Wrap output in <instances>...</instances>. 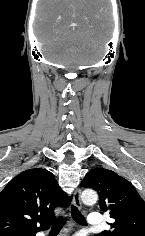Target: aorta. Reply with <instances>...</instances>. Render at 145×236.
Returning <instances> with one entry per match:
<instances>
[{
	"label": "aorta",
	"instance_id": "1",
	"mask_svg": "<svg viewBox=\"0 0 145 236\" xmlns=\"http://www.w3.org/2000/svg\"><path fill=\"white\" fill-rule=\"evenodd\" d=\"M81 199L86 205H93L98 200V195L94 190H84L81 195Z\"/></svg>",
	"mask_w": 145,
	"mask_h": 236
}]
</instances>
